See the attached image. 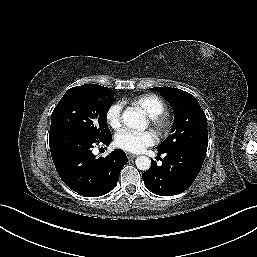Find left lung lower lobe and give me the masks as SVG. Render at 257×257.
Here are the masks:
<instances>
[{
    "instance_id": "left-lung-lower-lobe-1",
    "label": "left lung lower lobe",
    "mask_w": 257,
    "mask_h": 257,
    "mask_svg": "<svg viewBox=\"0 0 257 257\" xmlns=\"http://www.w3.org/2000/svg\"><path fill=\"white\" fill-rule=\"evenodd\" d=\"M165 153L162 165L152 161L149 170L142 174L146 187L160 196L176 195L185 191L200 172L205 155L187 150H173Z\"/></svg>"
}]
</instances>
